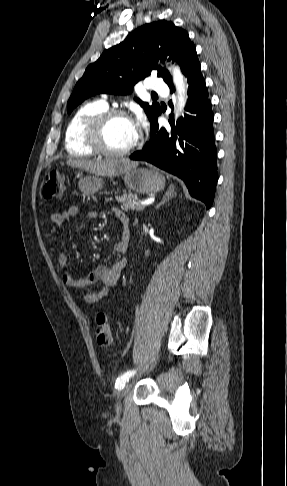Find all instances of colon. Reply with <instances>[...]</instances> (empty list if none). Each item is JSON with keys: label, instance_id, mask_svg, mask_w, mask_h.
<instances>
[{"label": "colon", "instance_id": "5ec220e1", "mask_svg": "<svg viewBox=\"0 0 287 486\" xmlns=\"http://www.w3.org/2000/svg\"><path fill=\"white\" fill-rule=\"evenodd\" d=\"M64 190L62 174L50 171L46 174L42 194L45 199L59 197ZM96 342L99 346H108L112 342V321L110 316L100 311L96 315Z\"/></svg>", "mask_w": 287, "mask_h": 486}]
</instances>
